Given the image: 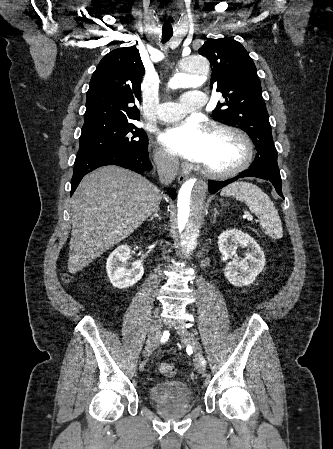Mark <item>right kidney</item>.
<instances>
[{"mask_svg":"<svg viewBox=\"0 0 333 449\" xmlns=\"http://www.w3.org/2000/svg\"><path fill=\"white\" fill-rule=\"evenodd\" d=\"M130 255L129 246H119L115 249L106 262V271L112 285L119 289H126L136 284L144 274L142 255L141 260L132 264V268L127 269L125 264Z\"/></svg>","mask_w":333,"mask_h":449,"instance_id":"ca27d5eb","label":"right kidney"}]
</instances>
